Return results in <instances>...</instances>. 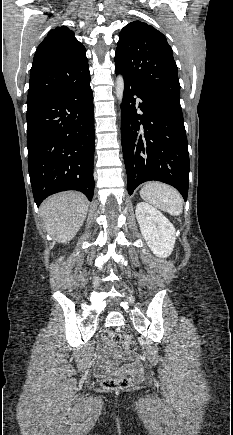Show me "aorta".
<instances>
[{
  "instance_id": "aorta-1",
  "label": "aorta",
  "mask_w": 233,
  "mask_h": 435,
  "mask_svg": "<svg viewBox=\"0 0 233 435\" xmlns=\"http://www.w3.org/2000/svg\"><path fill=\"white\" fill-rule=\"evenodd\" d=\"M115 90H116V92H115L116 96H117L119 102H121L123 99V93H124V79H123L122 75H118L116 78Z\"/></svg>"
}]
</instances>
